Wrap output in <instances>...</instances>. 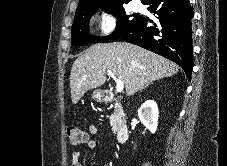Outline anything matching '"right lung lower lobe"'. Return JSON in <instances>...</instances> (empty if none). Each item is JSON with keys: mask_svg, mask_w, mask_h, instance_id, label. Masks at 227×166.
I'll return each mask as SVG.
<instances>
[{"mask_svg": "<svg viewBox=\"0 0 227 166\" xmlns=\"http://www.w3.org/2000/svg\"><path fill=\"white\" fill-rule=\"evenodd\" d=\"M148 10L156 14L158 21L140 19L118 38L141 46L179 64L190 78L192 73L193 11L189 0H148Z\"/></svg>", "mask_w": 227, "mask_h": 166, "instance_id": "1", "label": "right lung lower lobe"}]
</instances>
